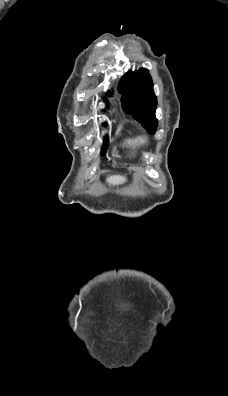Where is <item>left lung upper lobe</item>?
<instances>
[{
	"label": "left lung upper lobe",
	"mask_w": 228,
	"mask_h": 396,
	"mask_svg": "<svg viewBox=\"0 0 228 396\" xmlns=\"http://www.w3.org/2000/svg\"><path fill=\"white\" fill-rule=\"evenodd\" d=\"M119 91L123 94V110L138 120L150 134H154L158 125L155 116L157 98L148 70L141 68L127 72L120 81Z\"/></svg>",
	"instance_id": "left-lung-upper-lobe-1"
}]
</instances>
